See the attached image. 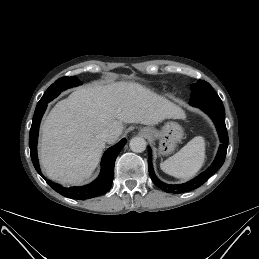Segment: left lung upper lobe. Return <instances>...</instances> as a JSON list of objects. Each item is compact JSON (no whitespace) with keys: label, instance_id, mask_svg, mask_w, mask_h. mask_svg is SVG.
<instances>
[{"label":"left lung upper lobe","instance_id":"5c2ea615","mask_svg":"<svg viewBox=\"0 0 259 259\" xmlns=\"http://www.w3.org/2000/svg\"><path fill=\"white\" fill-rule=\"evenodd\" d=\"M191 105L222 102L212 86L203 80L191 85Z\"/></svg>","mask_w":259,"mask_h":259}]
</instances>
